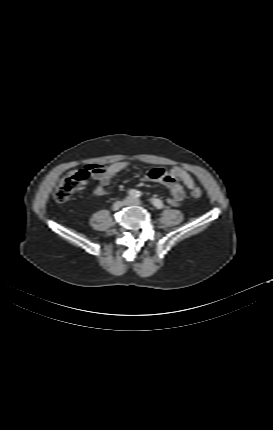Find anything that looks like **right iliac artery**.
<instances>
[{"instance_id":"82829eb1","label":"right iliac artery","mask_w":273,"mask_h":430,"mask_svg":"<svg viewBox=\"0 0 273 430\" xmlns=\"http://www.w3.org/2000/svg\"><path fill=\"white\" fill-rule=\"evenodd\" d=\"M128 195H129V197H132V198H138L141 196V192L138 190H135V189H130L128 191Z\"/></svg>"}]
</instances>
